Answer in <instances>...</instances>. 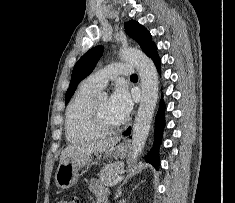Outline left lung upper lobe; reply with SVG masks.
<instances>
[{
  "label": "left lung upper lobe",
  "instance_id": "obj_1",
  "mask_svg": "<svg viewBox=\"0 0 235 203\" xmlns=\"http://www.w3.org/2000/svg\"><path fill=\"white\" fill-rule=\"evenodd\" d=\"M124 26L126 33L140 44L144 53L154 44L149 31L138 22L131 20L125 23ZM102 53L103 46H96L78 60L72 72L70 86L66 92L65 104L74 94L77 85L93 71Z\"/></svg>",
  "mask_w": 235,
  "mask_h": 203
}]
</instances>
